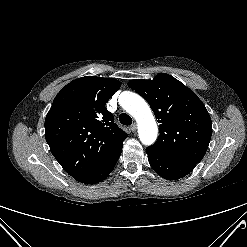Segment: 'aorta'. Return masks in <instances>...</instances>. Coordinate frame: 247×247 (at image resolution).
<instances>
[{"label":"aorta","mask_w":247,"mask_h":247,"mask_svg":"<svg viewBox=\"0 0 247 247\" xmlns=\"http://www.w3.org/2000/svg\"><path fill=\"white\" fill-rule=\"evenodd\" d=\"M120 104L138 123V134L144 145H151L157 138L158 128L155 118L146 101L132 92H124Z\"/></svg>","instance_id":"1"}]
</instances>
